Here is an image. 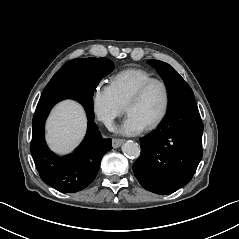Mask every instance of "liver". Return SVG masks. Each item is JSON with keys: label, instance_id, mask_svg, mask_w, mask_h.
I'll list each match as a JSON object with an SVG mask.
<instances>
[{"label": "liver", "instance_id": "obj_1", "mask_svg": "<svg viewBox=\"0 0 239 239\" xmlns=\"http://www.w3.org/2000/svg\"><path fill=\"white\" fill-rule=\"evenodd\" d=\"M86 118L81 107L73 102L59 104L47 122V140L51 147L65 152L78 143L84 134Z\"/></svg>", "mask_w": 239, "mask_h": 239}]
</instances>
